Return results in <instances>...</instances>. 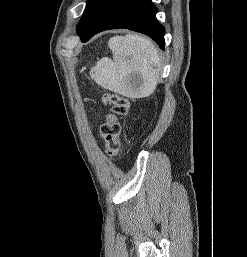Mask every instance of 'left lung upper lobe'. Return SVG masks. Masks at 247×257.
Returning <instances> with one entry per match:
<instances>
[{"instance_id": "obj_1", "label": "left lung upper lobe", "mask_w": 247, "mask_h": 257, "mask_svg": "<svg viewBox=\"0 0 247 257\" xmlns=\"http://www.w3.org/2000/svg\"><path fill=\"white\" fill-rule=\"evenodd\" d=\"M97 2V0H87V5H86V8H85V11L80 19V22L78 23V26H77V33H79L84 24L86 23L95 3Z\"/></svg>"}]
</instances>
